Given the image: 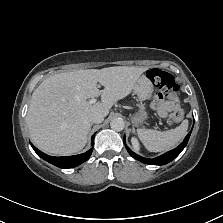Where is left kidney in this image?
I'll return each mask as SVG.
<instances>
[{
  "label": "left kidney",
  "instance_id": "1",
  "mask_svg": "<svg viewBox=\"0 0 223 223\" xmlns=\"http://www.w3.org/2000/svg\"><path fill=\"white\" fill-rule=\"evenodd\" d=\"M131 144L135 151H137V152L141 151V144H140L139 138L137 136L131 137Z\"/></svg>",
  "mask_w": 223,
  "mask_h": 223
}]
</instances>
